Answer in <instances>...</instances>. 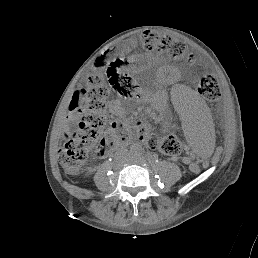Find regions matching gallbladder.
<instances>
[{"instance_id": "1", "label": "gallbladder", "mask_w": 258, "mask_h": 258, "mask_svg": "<svg viewBox=\"0 0 258 258\" xmlns=\"http://www.w3.org/2000/svg\"><path fill=\"white\" fill-rule=\"evenodd\" d=\"M67 129H68L69 132H75V131H77V129H78L77 123H76V122H70V123H68Z\"/></svg>"}]
</instances>
